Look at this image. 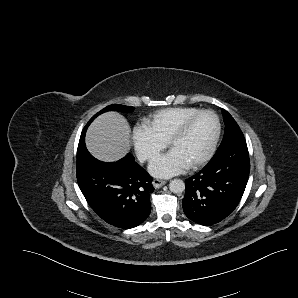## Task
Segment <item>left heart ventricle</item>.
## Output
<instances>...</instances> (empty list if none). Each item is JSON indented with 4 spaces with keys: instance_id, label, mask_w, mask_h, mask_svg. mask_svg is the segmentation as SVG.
Instances as JSON below:
<instances>
[{
    "instance_id": "obj_1",
    "label": "left heart ventricle",
    "mask_w": 298,
    "mask_h": 298,
    "mask_svg": "<svg viewBox=\"0 0 298 298\" xmlns=\"http://www.w3.org/2000/svg\"><path fill=\"white\" fill-rule=\"evenodd\" d=\"M213 134L212 118L208 115L201 116L172 143L170 150L189 166L206 151Z\"/></svg>"
}]
</instances>
